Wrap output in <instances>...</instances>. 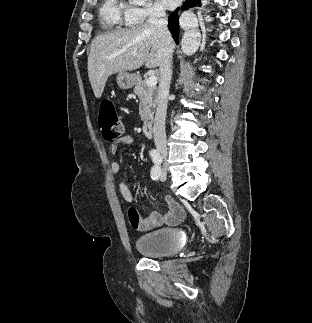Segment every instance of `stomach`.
Returning a JSON list of instances; mask_svg holds the SVG:
<instances>
[{"mask_svg": "<svg viewBox=\"0 0 312 323\" xmlns=\"http://www.w3.org/2000/svg\"><path fill=\"white\" fill-rule=\"evenodd\" d=\"M138 82L136 74H128V72H119L117 76V84L121 90H129Z\"/></svg>", "mask_w": 312, "mask_h": 323, "instance_id": "obj_1", "label": "stomach"}]
</instances>
